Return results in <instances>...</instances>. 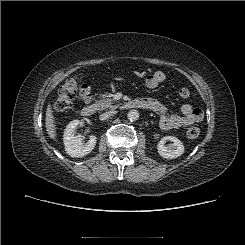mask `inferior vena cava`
<instances>
[{
  "label": "inferior vena cava",
  "instance_id": "602c4592",
  "mask_svg": "<svg viewBox=\"0 0 245 245\" xmlns=\"http://www.w3.org/2000/svg\"><path fill=\"white\" fill-rule=\"evenodd\" d=\"M116 114V111H108L100 115V120H106Z\"/></svg>",
  "mask_w": 245,
  "mask_h": 245
}]
</instances>
